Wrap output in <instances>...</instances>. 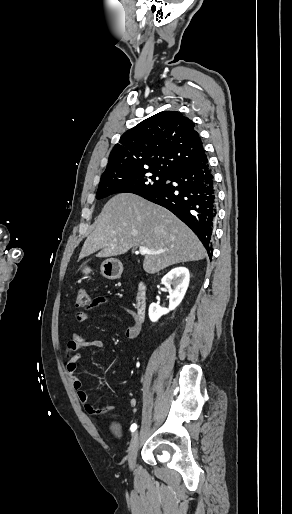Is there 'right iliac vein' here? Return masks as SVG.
Here are the masks:
<instances>
[{"label":"right iliac vein","mask_w":292,"mask_h":514,"mask_svg":"<svg viewBox=\"0 0 292 514\" xmlns=\"http://www.w3.org/2000/svg\"><path fill=\"white\" fill-rule=\"evenodd\" d=\"M139 443H140V433H139V431H136L131 439L130 446L128 449V455H127L128 465H129L130 470H133L135 467Z\"/></svg>","instance_id":"right-iliac-vein-1"}]
</instances>
